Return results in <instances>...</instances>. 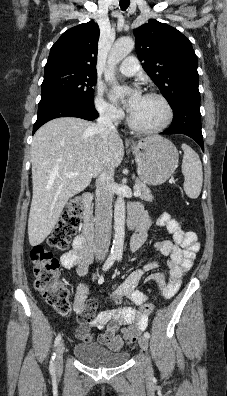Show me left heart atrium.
<instances>
[{
  "label": "left heart atrium",
  "mask_w": 227,
  "mask_h": 396,
  "mask_svg": "<svg viewBox=\"0 0 227 396\" xmlns=\"http://www.w3.org/2000/svg\"><path fill=\"white\" fill-rule=\"evenodd\" d=\"M114 100H119L123 96V91L121 89H115L111 94ZM143 96L140 91L136 90L132 93V95L128 98L126 102L127 109L132 112L139 102L142 100Z\"/></svg>",
  "instance_id": "39dd6f15"
}]
</instances>
